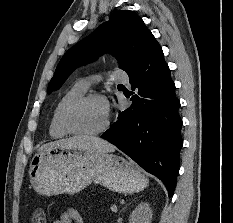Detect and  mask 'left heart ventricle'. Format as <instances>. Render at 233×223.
I'll return each mask as SVG.
<instances>
[{
  "label": "left heart ventricle",
  "instance_id": "b2bd125f",
  "mask_svg": "<svg viewBox=\"0 0 233 223\" xmlns=\"http://www.w3.org/2000/svg\"><path fill=\"white\" fill-rule=\"evenodd\" d=\"M107 121L102 109V99H94L81 106L74 117L75 125L82 131L95 132Z\"/></svg>",
  "mask_w": 233,
  "mask_h": 223
}]
</instances>
